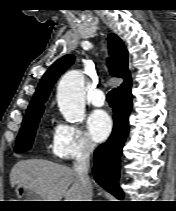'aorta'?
I'll use <instances>...</instances> for the list:
<instances>
[{"label":"aorta","mask_w":176,"mask_h":211,"mask_svg":"<svg viewBox=\"0 0 176 211\" xmlns=\"http://www.w3.org/2000/svg\"><path fill=\"white\" fill-rule=\"evenodd\" d=\"M57 103L66 121H81L85 111L84 76L79 71H69L60 80Z\"/></svg>","instance_id":"obj_1"}]
</instances>
